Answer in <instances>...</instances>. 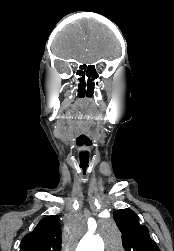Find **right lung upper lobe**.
I'll return each instance as SVG.
<instances>
[{
  "label": "right lung upper lobe",
  "instance_id": "cb5924a9",
  "mask_svg": "<svg viewBox=\"0 0 174 251\" xmlns=\"http://www.w3.org/2000/svg\"><path fill=\"white\" fill-rule=\"evenodd\" d=\"M19 251H61L59 217L43 218L32 232L23 237Z\"/></svg>",
  "mask_w": 174,
  "mask_h": 251
}]
</instances>
